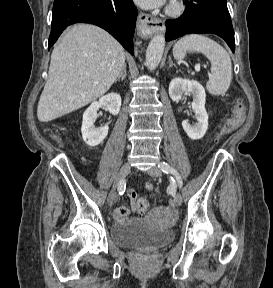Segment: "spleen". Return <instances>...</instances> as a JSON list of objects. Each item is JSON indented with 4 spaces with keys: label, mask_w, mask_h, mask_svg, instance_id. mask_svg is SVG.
Returning <instances> with one entry per match:
<instances>
[{
    "label": "spleen",
    "mask_w": 273,
    "mask_h": 288,
    "mask_svg": "<svg viewBox=\"0 0 273 288\" xmlns=\"http://www.w3.org/2000/svg\"><path fill=\"white\" fill-rule=\"evenodd\" d=\"M187 52L204 54L211 63V77L206 88L213 95H223L232 79V64L227 51L214 40L200 34L186 35L173 47V56L181 62Z\"/></svg>",
    "instance_id": "3e777b00"
}]
</instances>
